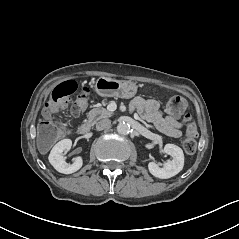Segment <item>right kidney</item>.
<instances>
[{"label": "right kidney", "mask_w": 239, "mask_h": 239, "mask_svg": "<svg viewBox=\"0 0 239 239\" xmlns=\"http://www.w3.org/2000/svg\"><path fill=\"white\" fill-rule=\"evenodd\" d=\"M72 146V140L70 138L59 141L51 150L49 155V162L60 173L72 174L81 169L83 162L80 157H77L72 163L65 162L64 153Z\"/></svg>", "instance_id": "1"}]
</instances>
